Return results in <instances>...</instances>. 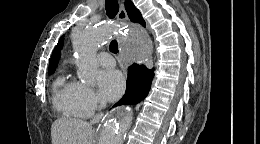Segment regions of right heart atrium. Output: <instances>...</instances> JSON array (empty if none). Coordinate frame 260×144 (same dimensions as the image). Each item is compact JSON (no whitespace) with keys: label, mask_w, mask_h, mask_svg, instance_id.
I'll use <instances>...</instances> for the list:
<instances>
[{"label":"right heart atrium","mask_w":260,"mask_h":144,"mask_svg":"<svg viewBox=\"0 0 260 144\" xmlns=\"http://www.w3.org/2000/svg\"><path fill=\"white\" fill-rule=\"evenodd\" d=\"M76 100L84 116L91 115L101 105L94 90L82 83H76Z\"/></svg>","instance_id":"1"}]
</instances>
